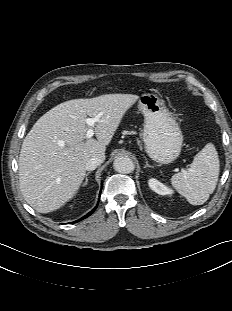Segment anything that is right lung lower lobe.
Segmentation results:
<instances>
[{"label":"right lung lower lobe","instance_id":"98d812e1","mask_svg":"<svg viewBox=\"0 0 232 311\" xmlns=\"http://www.w3.org/2000/svg\"><path fill=\"white\" fill-rule=\"evenodd\" d=\"M94 211H95V209H93L92 211H90L87 215L83 216L81 219H79V221H80V220H83V219H85V218H87V217L90 216ZM75 222H77V221H75Z\"/></svg>","mask_w":232,"mask_h":311}]
</instances>
